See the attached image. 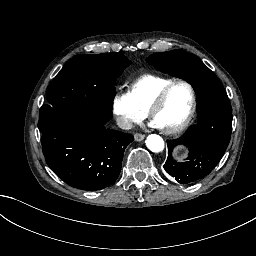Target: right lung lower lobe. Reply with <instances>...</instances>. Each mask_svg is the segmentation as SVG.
<instances>
[{
    "instance_id": "98d812e1",
    "label": "right lung lower lobe",
    "mask_w": 256,
    "mask_h": 256,
    "mask_svg": "<svg viewBox=\"0 0 256 256\" xmlns=\"http://www.w3.org/2000/svg\"><path fill=\"white\" fill-rule=\"evenodd\" d=\"M103 122L80 118L56 121L41 131L48 166L66 184L82 190H101L113 184L121 170L131 134L106 129Z\"/></svg>"
}]
</instances>
